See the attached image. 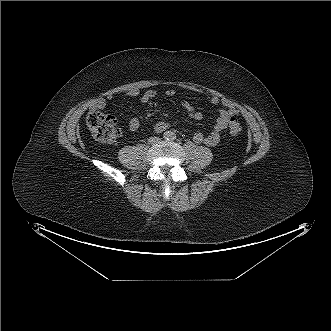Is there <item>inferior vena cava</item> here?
Listing matches in <instances>:
<instances>
[{
	"instance_id": "inferior-vena-cava-1",
	"label": "inferior vena cava",
	"mask_w": 331,
	"mask_h": 331,
	"mask_svg": "<svg viewBox=\"0 0 331 331\" xmlns=\"http://www.w3.org/2000/svg\"><path fill=\"white\" fill-rule=\"evenodd\" d=\"M151 139H156V140H158L159 138H158V137H152Z\"/></svg>"
}]
</instances>
